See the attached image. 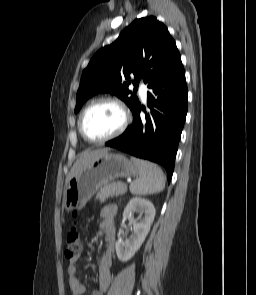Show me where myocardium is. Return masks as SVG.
<instances>
[{"mask_svg":"<svg viewBox=\"0 0 256 295\" xmlns=\"http://www.w3.org/2000/svg\"><path fill=\"white\" fill-rule=\"evenodd\" d=\"M103 103H109V104H112L114 105L115 107H117L121 114H122V122L119 126V128L112 134H110L109 136H106L104 138H101V139H93L91 137H89L85 131V120H86V117L88 115V113L93 109L95 108L96 106L100 105V104H103ZM129 121H130V114H129V111L127 110V108L125 107V105L118 99L116 98H113V97H102V98H99L95 101H93L86 109L85 111L83 112L82 116H81V119H80V123H79V131L81 133V135L83 136V138L90 142V143H93V144H102V143H105V142H108L118 136H120L124 131L125 129L127 128L128 124H129Z\"/></svg>","mask_w":256,"mask_h":295,"instance_id":"obj_1","label":"myocardium"}]
</instances>
